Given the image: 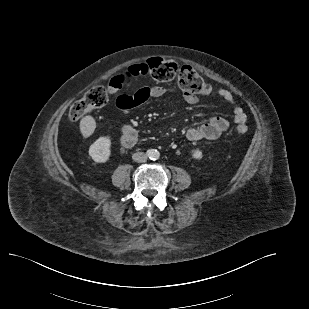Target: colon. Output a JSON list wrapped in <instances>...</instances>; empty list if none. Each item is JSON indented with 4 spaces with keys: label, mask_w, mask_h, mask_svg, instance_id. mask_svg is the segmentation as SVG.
<instances>
[{
    "label": "colon",
    "mask_w": 309,
    "mask_h": 309,
    "mask_svg": "<svg viewBox=\"0 0 309 309\" xmlns=\"http://www.w3.org/2000/svg\"><path fill=\"white\" fill-rule=\"evenodd\" d=\"M149 73L160 82H168L176 79L182 91L194 95H208L210 85L191 66H180L172 60L152 58L146 63ZM138 68H132L136 73ZM108 101L107 91L103 86H95L86 92L84 97L75 102L70 109V119L79 121L90 111L103 107ZM236 130L245 134L248 130L244 124H239Z\"/></svg>",
    "instance_id": "colon-1"
}]
</instances>
